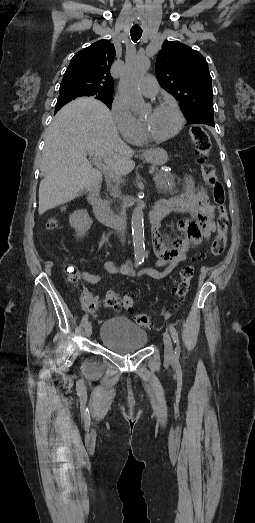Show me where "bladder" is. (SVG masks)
Instances as JSON below:
<instances>
[{
	"mask_svg": "<svg viewBox=\"0 0 255 523\" xmlns=\"http://www.w3.org/2000/svg\"><path fill=\"white\" fill-rule=\"evenodd\" d=\"M99 338L112 352L128 353L143 348L148 341V334L127 319H107L101 327Z\"/></svg>",
	"mask_w": 255,
	"mask_h": 523,
	"instance_id": "bladder-1",
	"label": "bladder"
}]
</instances>
